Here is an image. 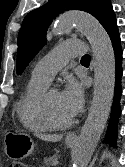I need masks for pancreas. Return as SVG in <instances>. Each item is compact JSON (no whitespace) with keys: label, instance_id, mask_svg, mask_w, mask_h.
<instances>
[{"label":"pancreas","instance_id":"1","mask_svg":"<svg viewBox=\"0 0 125 167\" xmlns=\"http://www.w3.org/2000/svg\"><path fill=\"white\" fill-rule=\"evenodd\" d=\"M57 160V156H51V157H48V158H45L44 159V164L49 167L50 165H52V163Z\"/></svg>","mask_w":125,"mask_h":167}]
</instances>
